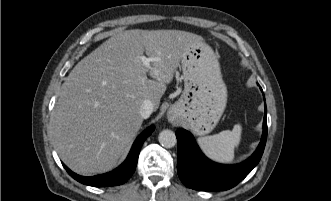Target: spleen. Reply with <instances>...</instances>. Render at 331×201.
Here are the masks:
<instances>
[{
    "mask_svg": "<svg viewBox=\"0 0 331 201\" xmlns=\"http://www.w3.org/2000/svg\"><path fill=\"white\" fill-rule=\"evenodd\" d=\"M242 127L234 125L232 131L224 130L219 134L200 137L197 142L204 154L213 161L230 163L234 159L235 148L241 140Z\"/></svg>",
    "mask_w": 331,
    "mask_h": 201,
    "instance_id": "obj_1",
    "label": "spleen"
}]
</instances>
